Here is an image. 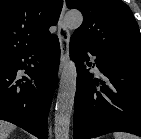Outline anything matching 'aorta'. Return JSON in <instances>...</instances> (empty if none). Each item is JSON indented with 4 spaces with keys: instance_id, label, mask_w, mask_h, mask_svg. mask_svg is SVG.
<instances>
[{
    "instance_id": "obj_1",
    "label": "aorta",
    "mask_w": 141,
    "mask_h": 139,
    "mask_svg": "<svg viewBox=\"0 0 141 139\" xmlns=\"http://www.w3.org/2000/svg\"><path fill=\"white\" fill-rule=\"evenodd\" d=\"M65 24L71 29L79 28L83 22V16L79 11H68L65 15ZM77 70L72 60H69L62 71L59 91L55 107V139H69L70 120L74 107L76 93Z\"/></svg>"
}]
</instances>
